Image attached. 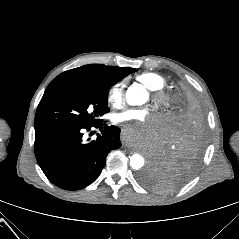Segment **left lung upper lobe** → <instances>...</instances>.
Segmentation results:
<instances>
[{"mask_svg":"<svg viewBox=\"0 0 239 239\" xmlns=\"http://www.w3.org/2000/svg\"><path fill=\"white\" fill-rule=\"evenodd\" d=\"M185 98H198L196 91L188 83H180L175 93L176 104ZM171 115V124L175 121V110ZM141 181L148 187L156 191H167L171 188L168 179L157 171L149 168L146 173L141 176Z\"/></svg>","mask_w":239,"mask_h":239,"instance_id":"5c2ea615","label":"left lung upper lobe"}]
</instances>
